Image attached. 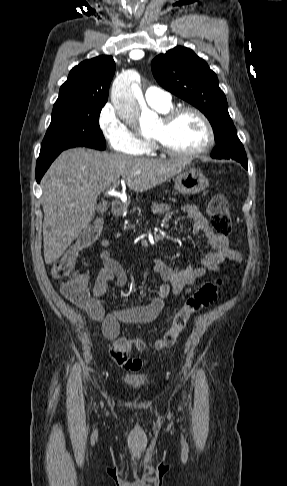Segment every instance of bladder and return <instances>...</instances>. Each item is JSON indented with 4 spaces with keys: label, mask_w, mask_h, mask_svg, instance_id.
I'll use <instances>...</instances> for the list:
<instances>
[{
    "label": "bladder",
    "mask_w": 287,
    "mask_h": 486,
    "mask_svg": "<svg viewBox=\"0 0 287 486\" xmlns=\"http://www.w3.org/2000/svg\"><path fill=\"white\" fill-rule=\"evenodd\" d=\"M123 382L132 388H140L147 384L148 379L144 376L126 375L123 377Z\"/></svg>",
    "instance_id": "1"
}]
</instances>
